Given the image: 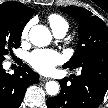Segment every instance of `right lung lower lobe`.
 Wrapping results in <instances>:
<instances>
[{
	"mask_svg": "<svg viewBox=\"0 0 108 108\" xmlns=\"http://www.w3.org/2000/svg\"><path fill=\"white\" fill-rule=\"evenodd\" d=\"M38 82L39 75L27 65L19 66L10 75L0 61V108H19L27 87Z\"/></svg>",
	"mask_w": 108,
	"mask_h": 108,
	"instance_id": "98d812e1",
	"label": "right lung lower lobe"
}]
</instances>
